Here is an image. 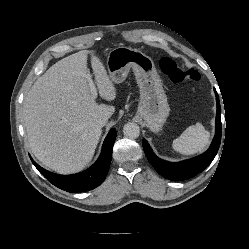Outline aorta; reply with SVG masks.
<instances>
[{
	"label": "aorta",
	"instance_id": "1",
	"mask_svg": "<svg viewBox=\"0 0 249 249\" xmlns=\"http://www.w3.org/2000/svg\"><path fill=\"white\" fill-rule=\"evenodd\" d=\"M124 136L130 139H136L140 135V128L136 123L128 122L123 127Z\"/></svg>",
	"mask_w": 249,
	"mask_h": 249
}]
</instances>
